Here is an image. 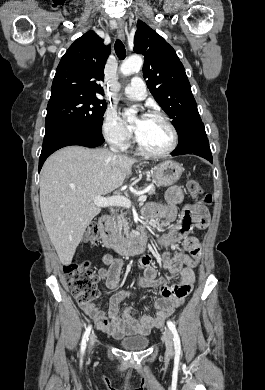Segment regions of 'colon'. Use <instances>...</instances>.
Segmentation results:
<instances>
[{"label": "colon", "instance_id": "5ec220e1", "mask_svg": "<svg viewBox=\"0 0 265 390\" xmlns=\"http://www.w3.org/2000/svg\"><path fill=\"white\" fill-rule=\"evenodd\" d=\"M187 188L193 196H200L202 194L201 186L194 180H190L187 183ZM211 202V194H205L202 197V203L204 205H209ZM97 239L98 226L94 223L90 224L85 234V241L90 244H95ZM63 270L71 293L79 304L92 303L99 296L97 287L99 277L90 262H71L66 264Z\"/></svg>", "mask_w": 265, "mask_h": 390}]
</instances>
